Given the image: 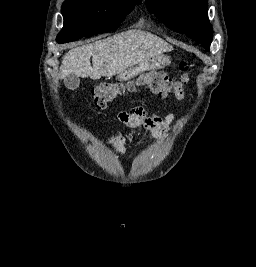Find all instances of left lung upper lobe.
<instances>
[{
  "mask_svg": "<svg viewBox=\"0 0 256 267\" xmlns=\"http://www.w3.org/2000/svg\"><path fill=\"white\" fill-rule=\"evenodd\" d=\"M148 10L169 28L192 38L209 51L212 29L207 0H146Z\"/></svg>",
  "mask_w": 256,
  "mask_h": 267,
  "instance_id": "left-lung-upper-lobe-1",
  "label": "left lung upper lobe"
}]
</instances>
